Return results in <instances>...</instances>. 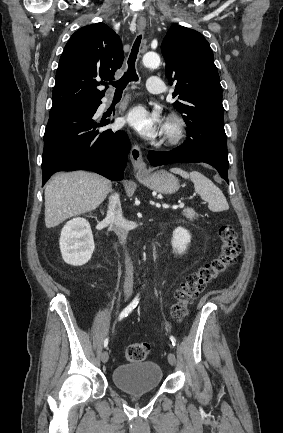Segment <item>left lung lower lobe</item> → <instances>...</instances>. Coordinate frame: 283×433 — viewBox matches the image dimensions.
Listing matches in <instances>:
<instances>
[{"instance_id":"obj_1","label":"left lung lower lobe","mask_w":283,"mask_h":433,"mask_svg":"<svg viewBox=\"0 0 283 433\" xmlns=\"http://www.w3.org/2000/svg\"><path fill=\"white\" fill-rule=\"evenodd\" d=\"M187 127V140L181 146L168 152L149 151L151 165L205 162L215 167L228 183L229 162L224 128L216 124Z\"/></svg>"}]
</instances>
